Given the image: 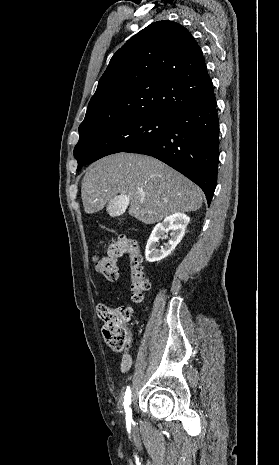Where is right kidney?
Returning a JSON list of instances; mask_svg holds the SVG:
<instances>
[{
  "mask_svg": "<svg viewBox=\"0 0 279 465\" xmlns=\"http://www.w3.org/2000/svg\"><path fill=\"white\" fill-rule=\"evenodd\" d=\"M190 217L178 212L166 217L163 222L158 223L152 230L147 241L145 257L148 262H158L167 257L182 240ZM171 231L168 243L161 250L157 249L159 239L166 238Z\"/></svg>",
  "mask_w": 279,
  "mask_h": 465,
  "instance_id": "1",
  "label": "right kidney"
}]
</instances>
